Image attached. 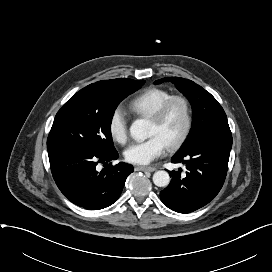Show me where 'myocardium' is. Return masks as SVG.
<instances>
[{"label": "myocardium", "mask_w": 272, "mask_h": 272, "mask_svg": "<svg viewBox=\"0 0 272 272\" xmlns=\"http://www.w3.org/2000/svg\"><path fill=\"white\" fill-rule=\"evenodd\" d=\"M174 103H180L183 107L184 126L179 136L168 145L169 150H175L179 148L186 141L191 132L193 126V114L189 100L182 95H172L164 102H162L149 116L150 120L154 122H160Z\"/></svg>", "instance_id": "1"}]
</instances>
